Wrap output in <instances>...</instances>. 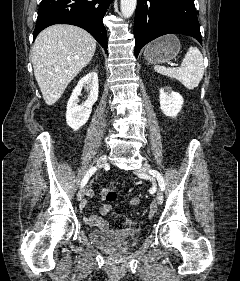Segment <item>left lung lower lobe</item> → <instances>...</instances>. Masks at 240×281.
I'll list each match as a JSON object with an SVG mask.
<instances>
[{
  "mask_svg": "<svg viewBox=\"0 0 240 281\" xmlns=\"http://www.w3.org/2000/svg\"><path fill=\"white\" fill-rule=\"evenodd\" d=\"M171 33L202 37L194 0H138L134 20L135 57L153 39Z\"/></svg>",
  "mask_w": 240,
  "mask_h": 281,
  "instance_id": "1",
  "label": "left lung lower lobe"
}]
</instances>
